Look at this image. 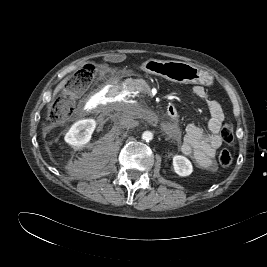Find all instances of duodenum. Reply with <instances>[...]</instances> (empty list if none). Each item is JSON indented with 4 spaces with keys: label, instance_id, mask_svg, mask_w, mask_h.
I'll use <instances>...</instances> for the list:
<instances>
[{
    "label": "duodenum",
    "instance_id": "obj_1",
    "mask_svg": "<svg viewBox=\"0 0 267 267\" xmlns=\"http://www.w3.org/2000/svg\"><path fill=\"white\" fill-rule=\"evenodd\" d=\"M109 93L112 96H115L116 98H123V99L129 98V93L125 92V89L119 83H112L109 86ZM166 113L168 117L173 120L176 119L177 117V111L173 106H169L166 110Z\"/></svg>",
    "mask_w": 267,
    "mask_h": 267
}]
</instances>
